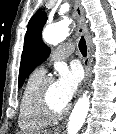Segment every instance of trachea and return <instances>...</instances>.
Returning <instances> with one entry per match:
<instances>
[{
	"label": "trachea",
	"instance_id": "obj_1",
	"mask_svg": "<svg viewBox=\"0 0 116 134\" xmlns=\"http://www.w3.org/2000/svg\"><path fill=\"white\" fill-rule=\"evenodd\" d=\"M79 50L82 53V55L84 57H86V55H87V47H86V41H85V39L83 37L79 41Z\"/></svg>",
	"mask_w": 116,
	"mask_h": 134
}]
</instances>
